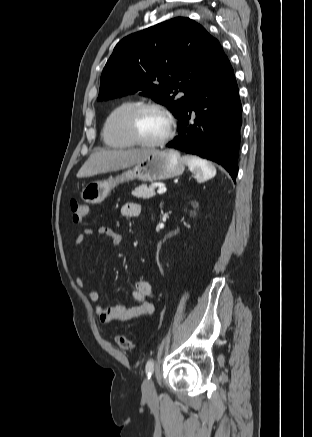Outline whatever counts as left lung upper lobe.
<instances>
[{"mask_svg":"<svg viewBox=\"0 0 312 437\" xmlns=\"http://www.w3.org/2000/svg\"><path fill=\"white\" fill-rule=\"evenodd\" d=\"M224 55L220 43L195 21L177 17L162 22L116 45L103 69L97 100L138 93L180 119ZM178 90L184 92L180 99L175 98Z\"/></svg>","mask_w":312,"mask_h":437,"instance_id":"left-lung-upper-lobe-1","label":"left lung upper lobe"}]
</instances>
